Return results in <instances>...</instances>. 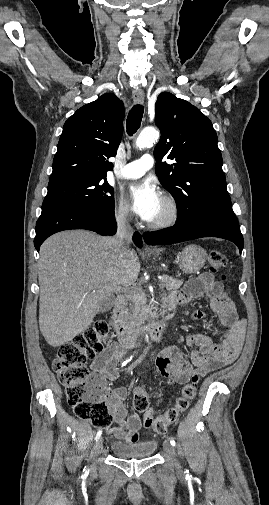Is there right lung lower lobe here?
Here are the masks:
<instances>
[{
  "label": "right lung lower lobe",
  "mask_w": 269,
  "mask_h": 505,
  "mask_svg": "<svg viewBox=\"0 0 269 505\" xmlns=\"http://www.w3.org/2000/svg\"><path fill=\"white\" fill-rule=\"evenodd\" d=\"M116 228L115 213L108 218L75 205H55L42 209L36 223L34 246L39 252V247L45 239L63 230L86 229L101 235H113ZM133 241L141 247L142 238L139 233H134Z\"/></svg>",
  "instance_id": "98d812e1"
}]
</instances>
